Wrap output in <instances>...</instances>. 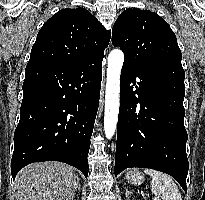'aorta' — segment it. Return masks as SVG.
<instances>
[{
    "label": "aorta",
    "instance_id": "obj_1",
    "mask_svg": "<svg viewBox=\"0 0 205 200\" xmlns=\"http://www.w3.org/2000/svg\"><path fill=\"white\" fill-rule=\"evenodd\" d=\"M124 54L120 49H114L108 56L107 81L105 95L104 132L111 139L117 127L119 113L120 74Z\"/></svg>",
    "mask_w": 205,
    "mask_h": 200
}]
</instances>
